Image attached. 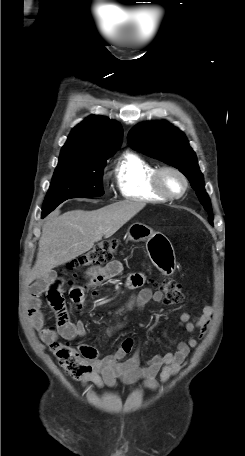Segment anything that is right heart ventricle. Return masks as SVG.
<instances>
[{"instance_id":"1","label":"right heart ventricle","mask_w":245,"mask_h":456,"mask_svg":"<svg viewBox=\"0 0 245 456\" xmlns=\"http://www.w3.org/2000/svg\"><path fill=\"white\" fill-rule=\"evenodd\" d=\"M156 166L134 153H125L114 169V178L119 193L128 200L161 202L151 187V176Z\"/></svg>"}]
</instances>
